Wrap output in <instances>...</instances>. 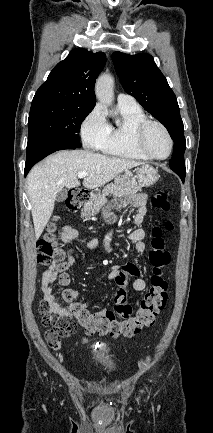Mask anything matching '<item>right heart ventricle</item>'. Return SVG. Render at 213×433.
I'll use <instances>...</instances> for the list:
<instances>
[{
  "label": "right heart ventricle",
  "instance_id": "1",
  "mask_svg": "<svg viewBox=\"0 0 213 433\" xmlns=\"http://www.w3.org/2000/svg\"><path fill=\"white\" fill-rule=\"evenodd\" d=\"M121 121L115 125H108L107 134L100 145L101 152L111 156L129 159H149L141 153L133 138L135 127L145 119V113L139 105L118 104Z\"/></svg>",
  "mask_w": 213,
  "mask_h": 433
}]
</instances>
